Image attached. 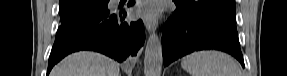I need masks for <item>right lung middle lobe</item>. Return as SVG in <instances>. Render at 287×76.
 <instances>
[{"instance_id": "right-lung-middle-lobe-1", "label": "right lung middle lobe", "mask_w": 287, "mask_h": 76, "mask_svg": "<svg viewBox=\"0 0 287 76\" xmlns=\"http://www.w3.org/2000/svg\"><path fill=\"white\" fill-rule=\"evenodd\" d=\"M107 0H60L59 14L61 24L83 15L99 11Z\"/></svg>"}]
</instances>
